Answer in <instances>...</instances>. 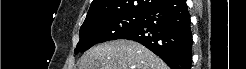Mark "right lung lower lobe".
Listing matches in <instances>:
<instances>
[{"label":"right lung lower lobe","instance_id":"98d812e1","mask_svg":"<svg viewBox=\"0 0 246 69\" xmlns=\"http://www.w3.org/2000/svg\"><path fill=\"white\" fill-rule=\"evenodd\" d=\"M119 39L141 43L171 69H191L192 34L185 0H167L146 10L139 25Z\"/></svg>","mask_w":246,"mask_h":69}]
</instances>
